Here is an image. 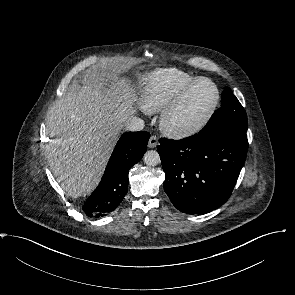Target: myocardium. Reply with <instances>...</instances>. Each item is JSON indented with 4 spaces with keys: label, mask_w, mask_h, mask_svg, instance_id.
<instances>
[{
    "label": "myocardium",
    "mask_w": 295,
    "mask_h": 295,
    "mask_svg": "<svg viewBox=\"0 0 295 295\" xmlns=\"http://www.w3.org/2000/svg\"><path fill=\"white\" fill-rule=\"evenodd\" d=\"M203 81L209 82L215 89V99L207 114L197 123L188 127H182L175 122V115L190 94V92ZM221 99L220 89L217 84L210 78L198 77L190 82L163 110L160 117V126L162 131L174 139H186L197 135L204 130L212 121L219 107Z\"/></svg>",
    "instance_id": "myocardium-1"
}]
</instances>
